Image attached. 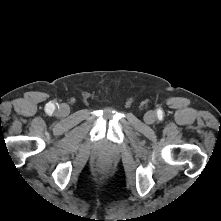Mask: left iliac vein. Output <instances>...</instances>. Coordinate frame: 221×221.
<instances>
[{
	"label": "left iliac vein",
	"mask_w": 221,
	"mask_h": 221,
	"mask_svg": "<svg viewBox=\"0 0 221 221\" xmlns=\"http://www.w3.org/2000/svg\"><path fill=\"white\" fill-rule=\"evenodd\" d=\"M156 120V113L154 111H149L144 115V121L147 124H153Z\"/></svg>",
	"instance_id": "4c4485c4"
}]
</instances>
